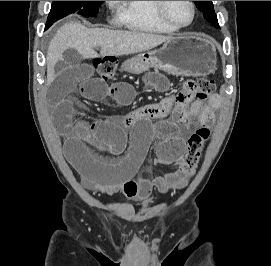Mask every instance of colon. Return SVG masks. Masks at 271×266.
<instances>
[{
  "label": "colon",
  "instance_id": "5ec220e1",
  "mask_svg": "<svg viewBox=\"0 0 271 266\" xmlns=\"http://www.w3.org/2000/svg\"><path fill=\"white\" fill-rule=\"evenodd\" d=\"M93 66L98 75L107 80L116 73V61L113 58H97L93 61ZM214 92V82L212 79L202 77L189 79L183 83L181 91L177 94L179 99L197 98L205 100ZM210 136V129L202 127L191 134L187 141V150L180 163L175 168L182 176L189 178L194 175L200 160L201 153Z\"/></svg>",
  "mask_w": 271,
  "mask_h": 266
}]
</instances>
